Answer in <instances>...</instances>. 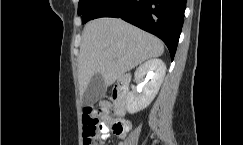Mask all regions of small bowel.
Segmentation results:
<instances>
[{
	"label": "small bowel",
	"mask_w": 243,
	"mask_h": 145,
	"mask_svg": "<svg viewBox=\"0 0 243 145\" xmlns=\"http://www.w3.org/2000/svg\"><path fill=\"white\" fill-rule=\"evenodd\" d=\"M102 106L107 107V104L105 102H103ZM112 121H113L112 118H110L108 116L104 117V120H103L101 128H100V140H101V142H104L109 137V133L111 131L110 125H111ZM126 124H127L126 130L123 133L116 134V135H118V136H124L125 135V133L129 129V123L126 122Z\"/></svg>",
	"instance_id": "1"
}]
</instances>
